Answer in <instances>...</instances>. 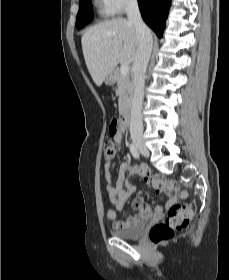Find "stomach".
<instances>
[{
  "label": "stomach",
  "instance_id": "1",
  "mask_svg": "<svg viewBox=\"0 0 229 280\" xmlns=\"http://www.w3.org/2000/svg\"><path fill=\"white\" fill-rule=\"evenodd\" d=\"M104 82L106 85H114V83L116 82V76L114 74V72H110L106 75Z\"/></svg>",
  "mask_w": 229,
  "mask_h": 280
}]
</instances>
